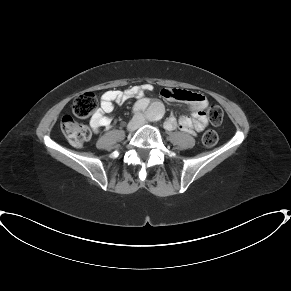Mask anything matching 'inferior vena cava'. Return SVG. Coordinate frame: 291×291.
Returning a JSON list of instances; mask_svg holds the SVG:
<instances>
[{"mask_svg":"<svg viewBox=\"0 0 291 291\" xmlns=\"http://www.w3.org/2000/svg\"><path fill=\"white\" fill-rule=\"evenodd\" d=\"M142 123H143V122H140V123L138 124V126H140Z\"/></svg>","mask_w":291,"mask_h":291,"instance_id":"inferior-vena-cava-1","label":"inferior vena cava"}]
</instances>
